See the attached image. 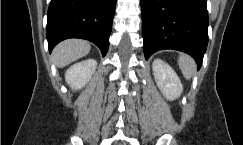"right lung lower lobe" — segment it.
<instances>
[{
  "label": "right lung lower lobe",
  "instance_id": "98d812e1",
  "mask_svg": "<svg viewBox=\"0 0 243 145\" xmlns=\"http://www.w3.org/2000/svg\"><path fill=\"white\" fill-rule=\"evenodd\" d=\"M116 0H51L47 13L49 51L67 38L95 43L105 56Z\"/></svg>",
  "mask_w": 243,
  "mask_h": 145
}]
</instances>
